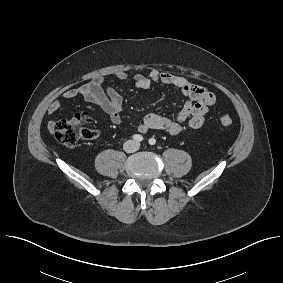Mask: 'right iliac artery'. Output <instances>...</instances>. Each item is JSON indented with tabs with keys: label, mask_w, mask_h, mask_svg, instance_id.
I'll list each match as a JSON object with an SVG mask.
<instances>
[{
	"label": "right iliac artery",
	"mask_w": 283,
	"mask_h": 283,
	"mask_svg": "<svg viewBox=\"0 0 283 283\" xmlns=\"http://www.w3.org/2000/svg\"><path fill=\"white\" fill-rule=\"evenodd\" d=\"M132 138H133L135 141H137V142L143 141V136H141V135H139V134L133 135Z\"/></svg>",
	"instance_id": "obj_1"
}]
</instances>
